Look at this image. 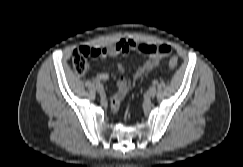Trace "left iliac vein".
<instances>
[{"instance_id": "left-iliac-vein-1", "label": "left iliac vein", "mask_w": 243, "mask_h": 167, "mask_svg": "<svg viewBox=\"0 0 243 167\" xmlns=\"http://www.w3.org/2000/svg\"><path fill=\"white\" fill-rule=\"evenodd\" d=\"M156 93H157V89L155 86L150 87L147 92L148 96L151 98L154 97L156 95Z\"/></svg>"}]
</instances>
